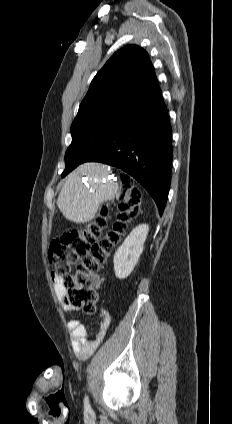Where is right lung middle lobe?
<instances>
[{
  "instance_id": "dd1d6c3e",
  "label": "right lung middle lobe",
  "mask_w": 232,
  "mask_h": 424,
  "mask_svg": "<svg viewBox=\"0 0 232 424\" xmlns=\"http://www.w3.org/2000/svg\"><path fill=\"white\" fill-rule=\"evenodd\" d=\"M132 105L110 103L79 112L71 126L72 142L65 155L66 176L116 128L128 121Z\"/></svg>"
}]
</instances>
